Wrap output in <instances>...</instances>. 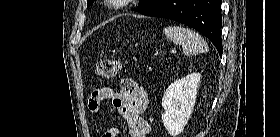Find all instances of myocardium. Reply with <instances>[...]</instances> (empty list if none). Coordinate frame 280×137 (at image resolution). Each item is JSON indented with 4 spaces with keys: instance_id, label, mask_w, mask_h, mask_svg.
I'll use <instances>...</instances> for the list:
<instances>
[{
    "instance_id": "1",
    "label": "myocardium",
    "mask_w": 280,
    "mask_h": 137,
    "mask_svg": "<svg viewBox=\"0 0 280 137\" xmlns=\"http://www.w3.org/2000/svg\"><path fill=\"white\" fill-rule=\"evenodd\" d=\"M112 5L124 7L127 5L128 0H108Z\"/></svg>"
}]
</instances>
